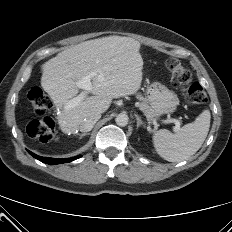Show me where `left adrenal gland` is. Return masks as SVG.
Segmentation results:
<instances>
[{"label":"left adrenal gland","instance_id":"left-adrenal-gland-1","mask_svg":"<svg viewBox=\"0 0 232 232\" xmlns=\"http://www.w3.org/2000/svg\"><path fill=\"white\" fill-rule=\"evenodd\" d=\"M135 117H136V120H137V129H138L141 125H143V127H145L144 122L141 120V118H140L137 114H135Z\"/></svg>","mask_w":232,"mask_h":232}]
</instances>
